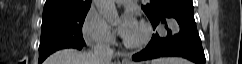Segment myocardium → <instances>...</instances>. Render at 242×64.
<instances>
[{"mask_svg":"<svg viewBox=\"0 0 242 64\" xmlns=\"http://www.w3.org/2000/svg\"><path fill=\"white\" fill-rule=\"evenodd\" d=\"M139 28L141 30V37L137 41H129L125 39L124 45L126 47L130 49H138L145 46L149 42L152 33L151 26L147 22L142 21Z\"/></svg>","mask_w":242,"mask_h":64,"instance_id":"obj_1","label":"myocardium"}]
</instances>
